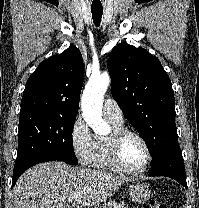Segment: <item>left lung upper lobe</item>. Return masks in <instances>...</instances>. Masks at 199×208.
Masks as SVG:
<instances>
[{
    "label": "left lung upper lobe",
    "instance_id": "1",
    "mask_svg": "<svg viewBox=\"0 0 199 208\" xmlns=\"http://www.w3.org/2000/svg\"><path fill=\"white\" fill-rule=\"evenodd\" d=\"M112 96L146 142L155 164L178 145L171 80L147 50L118 44L107 63Z\"/></svg>",
    "mask_w": 199,
    "mask_h": 208
}]
</instances>
